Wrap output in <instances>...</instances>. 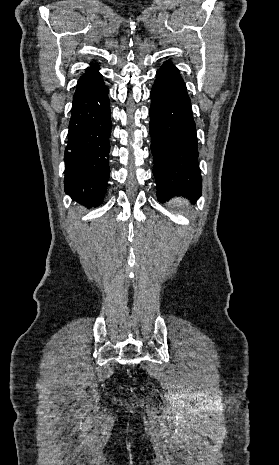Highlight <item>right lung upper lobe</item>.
<instances>
[{
  "instance_id": "cb5924a9",
  "label": "right lung upper lobe",
  "mask_w": 279,
  "mask_h": 465,
  "mask_svg": "<svg viewBox=\"0 0 279 465\" xmlns=\"http://www.w3.org/2000/svg\"><path fill=\"white\" fill-rule=\"evenodd\" d=\"M98 70H99V65L90 64V69L88 70V72L83 74L78 80L76 91L92 83L96 79L100 78L102 75L99 73Z\"/></svg>"
}]
</instances>
